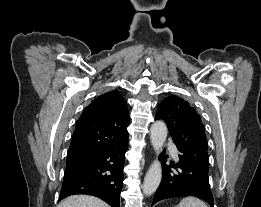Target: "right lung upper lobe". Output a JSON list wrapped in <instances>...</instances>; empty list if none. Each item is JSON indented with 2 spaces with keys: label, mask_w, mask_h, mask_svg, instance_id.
<instances>
[{
  "label": "right lung upper lobe",
  "mask_w": 261,
  "mask_h": 207,
  "mask_svg": "<svg viewBox=\"0 0 261 207\" xmlns=\"http://www.w3.org/2000/svg\"><path fill=\"white\" fill-rule=\"evenodd\" d=\"M129 122L127 102L119 92L99 96L84 109L76 123L67 161L125 144Z\"/></svg>",
  "instance_id": "1"
}]
</instances>
